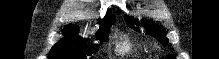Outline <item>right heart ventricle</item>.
<instances>
[{
	"label": "right heart ventricle",
	"instance_id": "right-heart-ventricle-1",
	"mask_svg": "<svg viewBox=\"0 0 219 59\" xmlns=\"http://www.w3.org/2000/svg\"><path fill=\"white\" fill-rule=\"evenodd\" d=\"M117 52L120 55L130 54L132 52V46L128 42V40L124 39L119 43L117 47Z\"/></svg>",
	"mask_w": 219,
	"mask_h": 59
}]
</instances>
